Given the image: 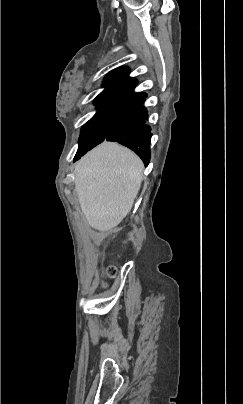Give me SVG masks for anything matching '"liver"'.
I'll use <instances>...</instances> for the list:
<instances>
[{"label":"liver","instance_id":"6515ba94","mask_svg":"<svg viewBox=\"0 0 243 404\" xmlns=\"http://www.w3.org/2000/svg\"><path fill=\"white\" fill-rule=\"evenodd\" d=\"M143 164L131 150L103 142L75 166V192L88 226L108 232L129 214L142 182Z\"/></svg>","mask_w":243,"mask_h":404}]
</instances>
